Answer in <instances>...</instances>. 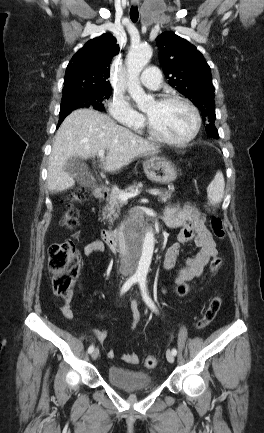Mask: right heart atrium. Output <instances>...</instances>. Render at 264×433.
I'll list each match as a JSON object with an SVG mask.
<instances>
[{
  "instance_id": "d8ad5b80",
  "label": "right heart atrium",
  "mask_w": 264,
  "mask_h": 433,
  "mask_svg": "<svg viewBox=\"0 0 264 433\" xmlns=\"http://www.w3.org/2000/svg\"><path fill=\"white\" fill-rule=\"evenodd\" d=\"M109 114L119 123L138 128L143 124V116L132 108L122 94H114L108 104Z\"/></svg>"
}]
</instances>
